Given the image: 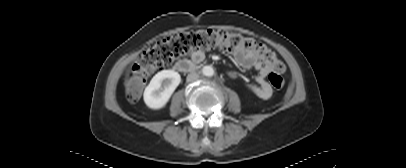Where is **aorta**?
Returning <instances> with one entry per match:
<instances>
[{"label":"aorta","mask_w":406,"mask_h":168,"mask_svg":"<svg viewBox=\"0 0 406 168\" xmlns=\"http://www.w3.org/2000/svg\"><path fill=\"white\" fill-rule=\"evenodd\" d=\"M202 74L205 75V76H208V77L213 76V74H214V69H213V67H211V66H204V67L202 68Z\"/></svg>","instance_id":"aorta-1"}]
</instances>
